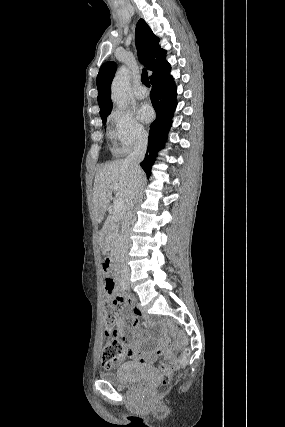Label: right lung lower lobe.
<instances>
[{
  "instance_id": "obj_1",
  "label": "right lung lower lobe",
  "mask_w": 285,
  "mask_h": 427,
  "mask_svg": "<svg viewBox=\"0 0 285 427\" xmlns=\"http://www.w3.org/2000/svg\"><path fill=\"white\" fill-rule=\"evenodd\" d=\"M151 83L150 98L156 111V119L150 125L147 152L144 160L140 163L148 177L151 174V168L157 157V152L164 147L177 105V89L170 74Z\"/></svg>"
}]
</instances>
